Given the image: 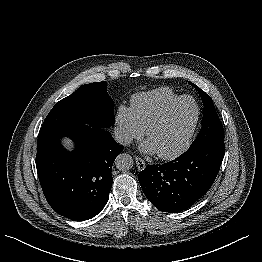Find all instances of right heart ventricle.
Instances as JSON below:
<instances>
[{"instance_id": "obj_1", "label": "right heart ventricle", "mask_w": 262, "mask_h": 262, "mask_svg": "<svg viewBox=\"0 0 262 262\" xmlns=\"http://www.w3.org/2000/svg\"><path fill=\"white\" fill-rule=\"evenodd\" d=\"M182 97L168 87L138 93L131 99V110L143 129L159 115L170 103Z\"/></svg>"}]
</instances>
